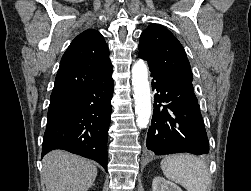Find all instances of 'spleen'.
Segmentation results:
<instances>
[{
  "label": "spleen",
  "mask_w": 251,
  "mask_h": 191,
  "mask_svg": "<svg viewBox=\"0 0 251 191\" xmlns=\"http://www.w3.org/2000/svg\"><path fill=\"white\" fill-rule=\"evenodd\" d=\"M161 169L168 179L180 183L187 191H206L209 185L207 165L196 155H166L161 161Z\"/></svg>",
  "instance_id": "obj_1"
}]
</instances>
